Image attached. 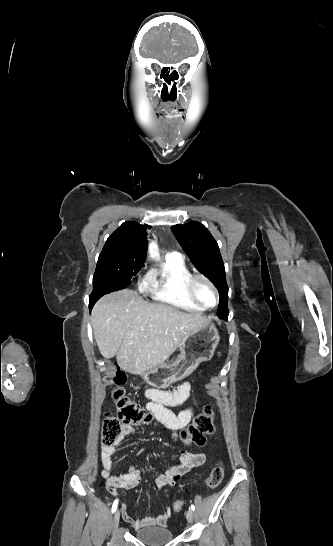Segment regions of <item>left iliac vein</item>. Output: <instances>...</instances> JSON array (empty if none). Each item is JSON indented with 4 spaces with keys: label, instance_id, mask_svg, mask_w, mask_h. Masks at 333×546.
<instances>
[{
    "label": "left iliac vein",
    "instance_id": "obj_1",
    "mask_svg": "<svg viewBox=\"0 0 333 546\" xmlns=\"http://www.w3.org/2000/svg\"><path fill=\"white\" fill-rule=\"evenodd\" d=\"M193 517H194V512L192 509H189L186 513V518H187V521L189 523H191L193 521Z\"/></svg>",
    "mask_w": 333,
    "mask_h": 546
}]
</instances>
